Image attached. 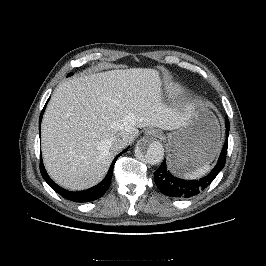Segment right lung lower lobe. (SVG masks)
I'll return each mask as SVG.
<instances>
[{
	"label": "right lung lower lobe",
	"mask_w": 266,
	"mask_h": 266,
	"mask_svg": "<svg viewBox=\"0 0 266 266\" xmlns=\"http://www.w3.org/2000/svg\"><path fill=\"white\" fill-rule=\"evenodd\" d=\"M46 106V105H45ZM45 106L42 110V113L40 115V119H39V124H41V120H42V116L45 110ZM128 148H126L124 151H122L118 156H116V158L114 159V161L112 162L109 171L106 175V177L96 186L85 190V191H80V192H71V191H67L63 188H61L60 186H58L56 183H54L51 178L48 176L42 159L40 160V172L44 178V180L50 185V187L55 190L58 194H60L62 197L74 201V202H89V201H94L98 198H100L101 196H103V194L107 191V189L110 186V182H111V178H112V174H113V168H114V164L117 160V158L122 155L125 151H127Z\"/></svg>",
	"instance_id": "right-lung-lower-lobe-1"
}]
</instances>
